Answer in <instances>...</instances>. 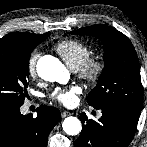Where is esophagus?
Listing matches in <instances>:
<instances>
[{
    "instance_id": "34e87169",
    "label": "esophagus",
    "mask_w": 147,
    "mask_h": 147,
    "mask_svg": "<svg viewBox=\"0 0 147 147\" xmlns=\"http://www.w3.org/2000/svg\"><path fill=\"white\" fill-rule=\"evenodd\" d=\"M69 115H71V113L68 112V111H63V112H61V117H62V118H65V117H67V116H69Z\"/></svg>"
}]
</instances>
